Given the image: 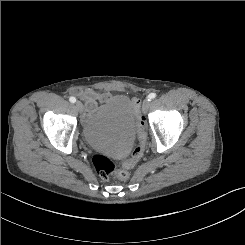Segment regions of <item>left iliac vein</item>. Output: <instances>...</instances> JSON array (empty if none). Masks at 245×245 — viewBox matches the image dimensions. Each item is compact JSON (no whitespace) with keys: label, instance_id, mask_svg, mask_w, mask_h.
<instances>
[{"label":"left iliac vein","instance_id":"1","mask_svg":"<svg viewBox=\"0 0 245 245\" xmlns=\"http://www.w3.org/2000/svg\"><path fill=\"white\" fill-rule=\"evenodd\" d=\"M142 107H143V112L147 113V111H148V109L150 107V101L148 100V98L143 101V106Z\"/></svg>","mask_w":245,"mask_h":245}]
</instances>
